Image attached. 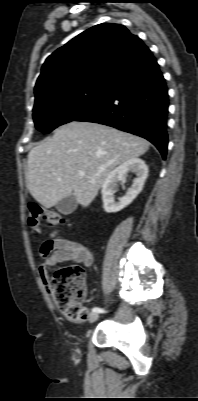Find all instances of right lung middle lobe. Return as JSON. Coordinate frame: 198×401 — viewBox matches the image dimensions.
<instances>
[{
  "instance_id": "1",
  "label": "right lung middle lobe",
  "mask_w": 198,
  "mask_h": 401,
  "mask_svg": "<svg viewBox=\"0 0 198 401\" xmlns=\"http://www.w3.org/2000/svg\"><path fill=\"white\" fill-rule=\"evenodd\" d=\"M109 83H86L49 93L35 100L33 118L36 128L49 133L71 122L93 107Z\"/></svg>"
}]
</instances>
